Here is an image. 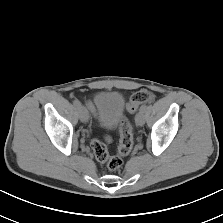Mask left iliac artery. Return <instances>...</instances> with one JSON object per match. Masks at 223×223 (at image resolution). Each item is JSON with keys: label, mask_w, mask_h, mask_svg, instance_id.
Returning <instances> with one entry per match:
<instances>
[{"label": "left iliac artery", "mask_w": 223, "mask_h": 223, "mask_svg": "<svg viewBox=\"0 0 223 223\" xmlns=\"http://www.w3.org/2000/svg\"><path fill=\"white\" fill-rule=\"evenodd\" d=\"M146 108H147V105L144 104L140 107V111L144 112L146 110Z\"/></svg>", "instance_id": "1"}]
</instances>
